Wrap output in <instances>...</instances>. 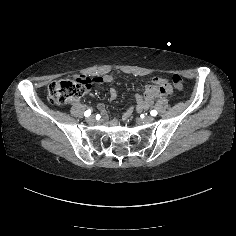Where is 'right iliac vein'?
Listing matches in <instances>:
<instances>
[{
    "instance_id": "1",
    "label": "right iliac vein",
    "mask_w": 236,
    "mask_h": 236,
    "mask_svg": "<svg viewBox=\"0 0 236 236\" xmlns=\"http://www.w3.org/2000/svg\"><path fill=\"white\" fill-rule=\"evenodd\" d=\"M94 120H95V119H94V116H92V115L87 118V122H88V123H93Z\"/></svg>"
}]
</instances>
